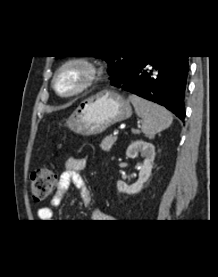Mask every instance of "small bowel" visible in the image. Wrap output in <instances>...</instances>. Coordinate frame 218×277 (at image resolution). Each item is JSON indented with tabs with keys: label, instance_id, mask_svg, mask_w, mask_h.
Wrapping results in <instances>:
<instances>
[{
	"label": "small bowel",
	"instance_id": "1",
	"mask_svg": "<svg viewBox=\"0 0 218 277\" xmlns=\"http://www.w3.org/2000/svg\"><path fill=\"white\" fill-rule=\"evenodd\" d=\"M86 164L87 160L83 157H70L66 160L65 170L59 177L56 192L51 199L52 206L60 205L71 184L79 189L82 203L85 206L91 204L92 196L90 189L80 174L85 169ZM37 217L41 222H48L53 217L52 209L48 206L38 208ZM93 218L102 220L105 218V215L99 210H95L93 212Z\"/></svg>",
	"mask_w": 218,
	"mask_h": 277
}]
</instances>
